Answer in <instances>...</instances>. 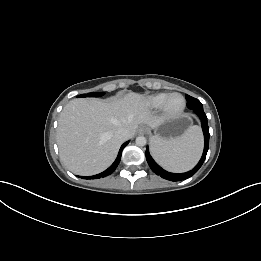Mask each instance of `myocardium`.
Returning a JSON list of instances; mask_svg holds the SVG:
<instances>
[{
	"instance_id": "myocardium-1",
	"label": "myocardium",
	"mask_w": 261,
	"mask_h": 261,
	"mask_svg": "<svg viewBox=\"0 0 261 261\" xmlns=\"http://www.w3.org/2000/svg\"><path fill=\"white\" fill-rule=\"evenodd\" d=\"M174 96H179L182 99V105L180 106V108L176 109V110H171L169 107V102L170 100L174 97ZM186 108V100L185 97L180 94V93H171L167 96V98L165 99L163 105H162V111L163 113L169 117V118H176L178 116H180L184 110Z\"/></svg>"
}]
</instances>
